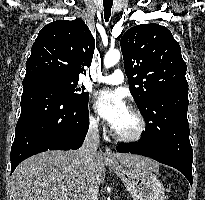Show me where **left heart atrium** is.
<instances>
[{
    "mask_svg": "<svg viewBox=\"0 0 205 200\" xmlns=\"http://www.w3.org/2000/svg\"><path fill=\"white\" fill-rule=\"evenodd\" d=\"M94 105L96 111L113 129L128 111L123 94L117 91H99L95 96Z\"/></svg>",
    "mask_w": 205,
    "mask_h": 200,
    "instance_id": "obj_1",
    "label": "left heart atrium"
}]
</instances>
